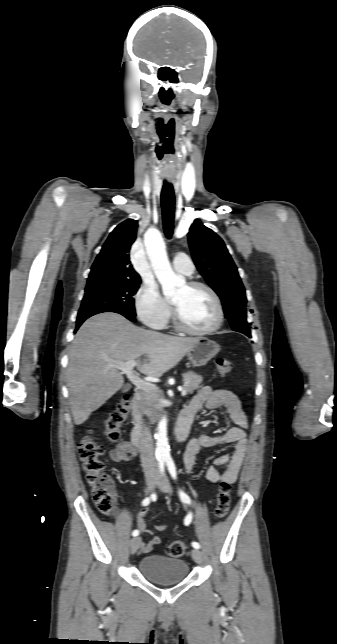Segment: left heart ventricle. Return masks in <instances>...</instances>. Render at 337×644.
Returning a JSON list of instances; mask_svg holds the SVG:
<instances>
[{"mask_svg":"<svg viewBox=\"0 0 337 644\" xmlns=\"http://www.w3.org/2000/svg\"><path fill=\"white\" fill-rule=\"evenodd\" d=\"M184 323L192 329L204 330L216 320V306L212 296L203 288L182 286L171 298Z\"/></svg>","mask_w":337,"mask_h":644,"instance_id":"1","label":"left heart ventricle"}]
</instances>
